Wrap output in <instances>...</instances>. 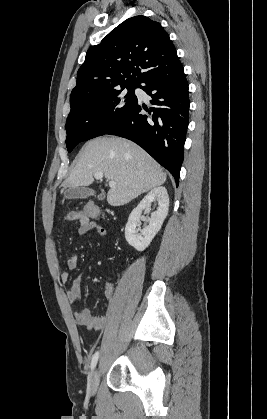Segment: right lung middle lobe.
I'll return each instance as SVG.
<instances>
[{
    "label": "right lung middle lobe",
    "mask_w": 267,
    "mask_h": 419,
    "mask_svg": "<svg viewBox=\"0 0 267 419\" xmlns=\"http://www.w3.org/2000/svg\"><path fill=\"white\" fill-rule=\"evenodd\" d=\"M136 86L102 92L71 104L66 121V146L71 152L80 142L104 135L119 122L137 101Z\"/></svg>",
    "instance_id": "1"
}]
</instances>
